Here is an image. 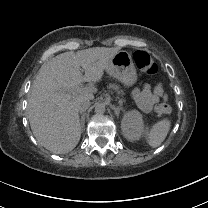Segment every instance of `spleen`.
I'll use <instances>...</instances> for the list:
<instances>
[{
	"label": "spleen",
	"instance_id": "1",
	"mask_svg": "<svg viewBox=\"0 0 208 208\" xmlns=\"http://www.w3.org/2000/svg\"><path fill=\"white\" fill-rule=\"evenodd\" d=\"M170 127L171 119L168 116L161 118L144 130L143 142L152 149L159 147L166 139Z\"/></svg>",
	"mask_w": 208,
	"mask_h": 208
}]
</instances>
